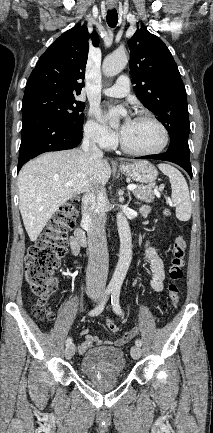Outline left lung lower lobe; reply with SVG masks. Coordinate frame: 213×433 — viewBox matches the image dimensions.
I'll use <instances>...</instances> for the list:
<instances>
[{
	"mask_svg": "<svg viewBox=\"0 0 213 433\" xmlns=\"http://www.w3.org/2000/svg\"><path fill=\"white\" fill-rule=\"evenodd\" d=\"M136 159H156L173 162L185 169L189 176L192 178V168L189 159V151L180 147H169L168 150L163 154L142 156Z\"/></svg>",
	"mask_w": 213,
	"mask_h": 433,
	"instance_id": "left-lung-lower-lobe-1",
	"label": "left lung lower lobe"
}]
</instances>
